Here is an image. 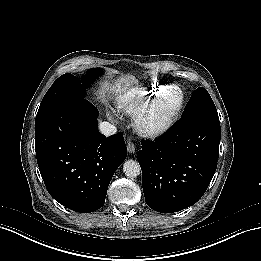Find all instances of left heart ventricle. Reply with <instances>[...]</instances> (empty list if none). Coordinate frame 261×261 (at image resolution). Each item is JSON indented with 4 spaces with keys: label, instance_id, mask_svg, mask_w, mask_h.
I'll return each instance as SVG.
<instances>
[{
    "label": "left heart ventricle",
    "instance_id": "obj_1",
    "mask_svg": "<svg viewBox=\"0 0 261 261\" xmlns=\"http://www.w3.org/2000/svg\"><path fill=\"white\" fill-rule=\"evenodd\" d=\"M178 95L170 92L163 98L159 99L151 113V118L160 120L172 113L178 104Z\"/></svg>",
    "mask_w": 261,
    "mask_h": 261
}]
</instances>
